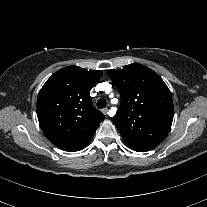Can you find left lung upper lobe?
<instances>
[{"label": "left lung upper lobe", "mask_w": 207, "mask_h": 207, "mask_svg": "<svg viewBox=\"0 0 207 207\" xmlns=\"http://www.w3.org/2000/svg\"><path fill=\"white\" fill-rule=\"evenodd\" d=\"M108 75L121 96L113 119L124 142L155 148L168 134L174 115L171 93L148 67L133 63Z\"/></svg>", "instance_id": "1"}]
</instances>
